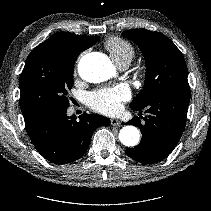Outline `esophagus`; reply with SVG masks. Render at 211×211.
I'll return each mask as SVG.
<instances>
[{"label": "esophagus", "instance_id": "34e87169", "mask_svg": "<svg viewBox=\"0 0 211 211\" xmlns=\"http://www.w3.org/2000/svg\"><path fill=\"white\" fill-rule=\"evenodd\" d=\"M111 125L112 126H120L121 122L118 119H116V118H112L111 119Z\"/></svg>", "mask_w": 211, "mask_h": 211}]
</instances>
